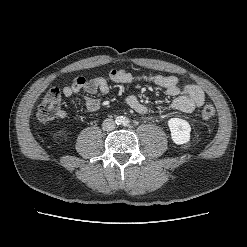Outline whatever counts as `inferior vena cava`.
<instances>
[{
	"label": "inferior vena cava",
	"mask_w": 247,
	"mask_h": 247,
	"mask_svg": "<svg viewBox=\"0 0 247 247\" xmlns=\"http://www.w3.org/2000/svg\"><path fill=\"white\" fill-rule=\"evenodd\" d=\"M115 122L112 119H106L102 123V129L105 131H112L115 129Z\"/></svg>",
	"instance_id": "1"
}]
</instances>
